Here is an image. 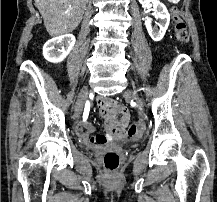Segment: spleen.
<instances>
[{
    "label": "spleen",
    "mask_w": 217,
    "mask_h": 202,
    "mask_svg": "<svg viewBox=\"0 0 217 202\" xmlns=\"http://www.w3.org/2000/svg\"><path fill=\"white\" fill-rule=\"evenodd\" d=\"M169 4H170V5H177V4H178V1H177V0H170V1H169Z\"/></svg>",
    "instance_id": "spleen-1"
}]
</instances>
